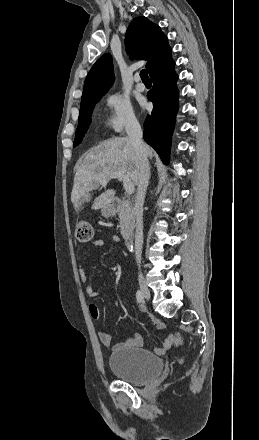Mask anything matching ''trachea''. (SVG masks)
I'll list each match as a JSON object with an SVG mask.
<instances>
[{
    "instance_id": "3493384b",
    "label": "trachea",
    "mask_w": 259,
    "mask_h": 440,
    "mask_svg": "<svg viewBox=\"0 0 259 440\" xmlns=\"http://www.w3.org/2000/svg\"><path fill=\"white\" fill-rule=\"evenodd\" d=\"M140 77H141V79H142L143 82H145V81H150L149 76H148V71H147V69H143V70H141V72H140Z\"/></svg>"
}]
</instances>
